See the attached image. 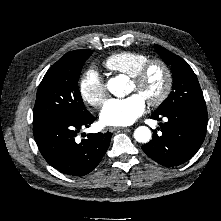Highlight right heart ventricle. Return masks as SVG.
<instances>
[{
  "instance_id": "e07e8e85",
  "label": "right heart ventricle",
  "mask_w": 221,
  "mask_h": 221,
  "mask_svg": "<svg viewBox=\"0 0 221 221\" xmlns=\"http://www.w3.org/2000/svg\"><path fill=\"white\" fill-rule=\"evenodd\" d=\"M149 57L145 54L122 51L110 55L104 61V67L110 71L126 74L132 77L137 70L149 61Z\"/></svg>"
}]
</instances>
